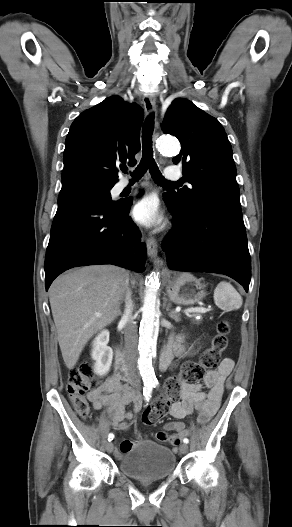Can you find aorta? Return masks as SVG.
<instances>
[{"label": "aorta", "instance_id": "762f6f07", "mask_svg": "<svg viewBox=\"0 0 292 527\" xmlns=\"http://www.w3.org/2000/svg\"><path fill=\"white\" fill-rule=\"evenodd\" d=\"M157 146L158 150L164 154H177L180 151L179 142L170 136L161 137ZM157 287V277L155 274L154 276L150 275L148 281H146L138 345V369L146 384H154L156 382L152 360L156 356L159 332V307L156 297Z\"/></svg>", "mask_w": 292, "mask_h": 527}]
</instances>
